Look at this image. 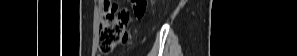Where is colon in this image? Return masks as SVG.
Here are the masks:
<instances>
[{
	"instance_id": "1",
	"label": "colon",
	"mask_w": 297,
	"mask_h": 56,
	"mask_svg": "<svg viewBox=\"0 0 297 56\" xmlns=\"http://www.w3.org/2000/svg\"><path fill=\"white\" fill-rule=\"evenodd\" d=\"M146 0H133L132 9L137 18L144 15ZM129 11L118 5L106 2L99 20L98 26V50L102 54H108L119 44V36L126 33L129 22Z\"/></svg>"
}]
</instances>
